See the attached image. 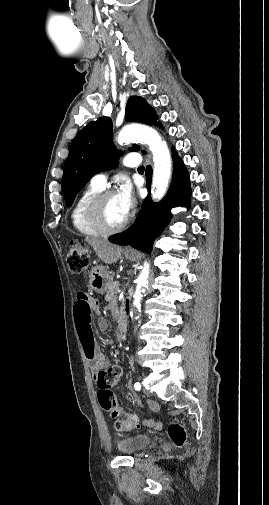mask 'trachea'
Here are the masks:
<instances>
[{"mask_svg": "<svg viewBox=\"0 0 269 505\" xmlns=\"http://www.w3.org/2000/svg\"><path fill=\"white\" fill-rule=\"evenodd\" d=\"M138 171H144V166H140V167L138 168Z\"/></svg>", "mask_w": 269, "mask_h": 505, "instance_id": "trachea-1", "label": "trachea"}]
</instances>
